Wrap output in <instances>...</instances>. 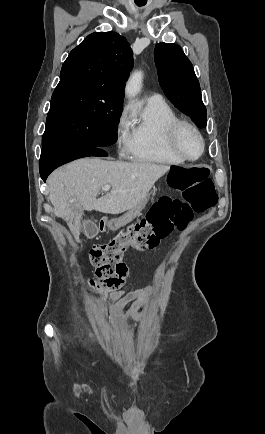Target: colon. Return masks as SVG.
Here are the masks:
<instances>
[{"instance_id": "colon-1", "label": "colon", "mask_w": 265, "mask_h": 434, "mask_svg": "<svg viewBox=\"0 0 265 434\" xmlns=\"http://www.w3.org/2000/svg\"><path fill=\"white\" fill-rule=\"evenodd\" d=\"M168 171L169 187L183 193V201L161 197L126 230L118 232L109 241L92 246L89 260L98 271L87 285L95 298L105 297L123 285L128 268L122 259L127 251L158 245L175 231L184 230L195 213L217 205L218 195L207 164H174Z\"/></svg>"}]
</instances>
